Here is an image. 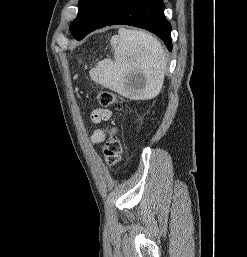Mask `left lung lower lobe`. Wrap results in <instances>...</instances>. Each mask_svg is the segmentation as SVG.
<instances>
[{"instance_id":"obj_1","label":"left lung lower lobe","mask_w":247,"mask_h":257,"mask_svg":"<svg viewBox=\"0 0 247 257\" xmlns=\"http://www.w3.org/2000/svg\"><path fill=\"white\" fill-rule=\"evenodd\" d=\"M162 0H97L73 37L83 39L90 32L109 25L125 24L151 31L172 50L171 25L164 16Z\"/></svg>"}]
</instances>
